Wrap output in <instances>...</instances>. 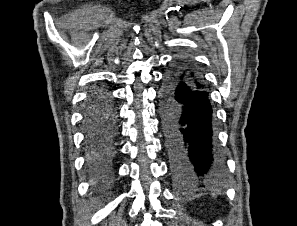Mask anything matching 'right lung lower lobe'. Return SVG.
<instances>
[{"label":"right lung lower lobe","instance_id":"obj_1","mask_svg":"<svg viewBox=\"0 0 297 226\" xmlns=\"http://www.w3.org/2000/svg\"><path fill=\"white\" fill-rule=\"evenodd\" d=\"M116 120L110 91L102 86L94 88L83 110L87 169L93 181L102 182L111 175L112 147L117 135Z\"/></svg>","mask_w":297,"mask_h":226}]
</instances>
